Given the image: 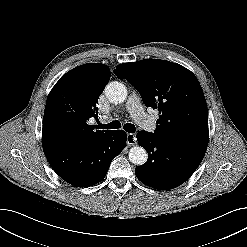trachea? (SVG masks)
Wrapping results in <instances>:
<instances>
[{
    "mask_svg": "<svg viewBox=\"0 0 247 247\" xmlns=\"http://www.w3.org/2000/svg\"><path fill=\"white\" fill-rule=\"evenodd\" d=\"M98 129H119L121 128V123L118 121V120H115V121H112L108 124H98L96 126ZM124 130L129 132V133H134L136 128L133 124L131 123H126L124 126H123Z\"/></svg>",
    "mask_w": 247,
    "mask_h": 247,
    "instance_id": "obj_1",
    "label": "trachea"
}]
</instances>
